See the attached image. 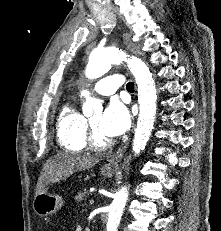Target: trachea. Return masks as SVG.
I'll return each mask as SVG.
<instances>
[{
  "label": "trachea",
  "instance_id": "3493384b",
  "mask_svg": "<svg viewBox=\"0 0 221 231\" xmlns=\"http://www.w3.org/2000/svg\"><path fill=\"white\" fill-rule=\"evenodd\" d=\"M126 89H127L128 91H134V83H133V82L127 83Z\"/></svg>",
  "mask_w": 221,
  "mask_h": 231
}]
</instances>
